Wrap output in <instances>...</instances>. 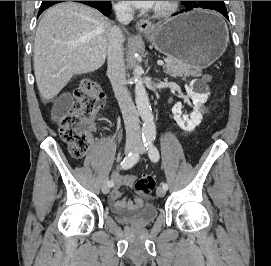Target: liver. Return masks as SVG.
Instances as JSON below:
<instances>
[{
  "label": "liver",
  "mask_w": 271,
  "mask_h": 266,
  "mask_svg": "<svg viewBox=\"0 0 271 266\" xmlns=\"http://www.w3.org/2000/svg\"><path fill=\"white\" fill-rule=\"evenodd\" d=\"M110 20L80 3H60L43 15L34 40L40 94L54 98L74 75L98 70L107 57Z\"/></svg>",
  "instance_id": "liver-1"
}]
</instances>
